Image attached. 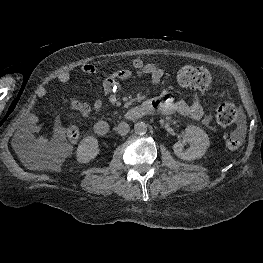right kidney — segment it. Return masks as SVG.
Wrapping results in <instances>:
<instances>
[{
	"instance_id": "ca27d5eb",
	"label": "right kidney",
	"mask_w": 263,
	"mask_h": 263,
	"mask_svg": "<svg viewBox=\"0 0 263 263\" xmlns=\"http://www.w3.org/2000/svg\"><path fill=\"white\" fill-rule=\"evenodd\" d=\"M98 140L93 136L85 137L77 148V161L79 163H89L99 154Z\"/></svg>"
}]
</instances>
